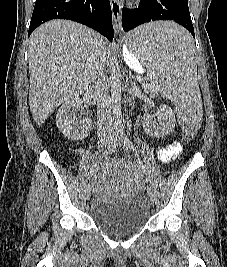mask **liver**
<instances>
[{
    "label": "liver",
    "instance_id": "1",
    "mask_svg": "<svg viewBox=\"0 0 227 267\" xmlns=\"http://www.w3.org/2000/svg\"><path fill=\"white\" fill-rule=\"evenodd\" d=\"M96 45L107 41L93 30L68 20H52L38 27L29 40V105L42 125L63 102L87 90Z\"/></svg>",
    "mask_w": 227,
    "mask_h": 267
}]
</instances>
